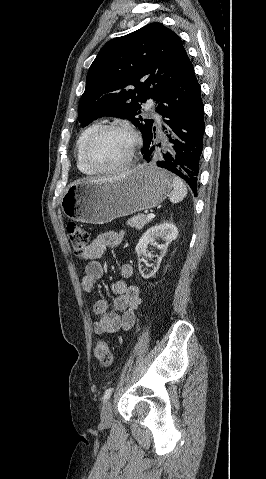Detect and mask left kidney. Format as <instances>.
<instances>
[{
	"label": "left kidney",
	"instance_id": "left-kidney-1",
	"mask_svg": "<svg viewBox=\"0 0 266 479\" xmlns=\"http://www.w3.org/2000/svg\"><path fill=\"white\" fill-rule=\"evenodd\" d=\"M177 235V227L172 223H163L160 225L153 226L142 235L135 248L138 256H151V254H147V246L149 243L154 242L155 238L162 237L165 241L164 244L157 245V248L161 250V254L157 257L156 267H154L152 271L145 272L144 270H142L139 264V272L143 278L148 279L156 274L157 270L159 269L162 258L167 252L168 245L177 238Z\"/></svg>",
	"mask_w": 266,
	"mask_h": 479
}]
</instances>
